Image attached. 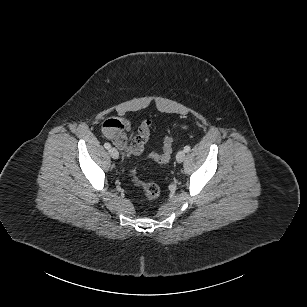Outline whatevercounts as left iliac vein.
<instances>
[{"label": "left iliac vein", "mask_w": 307, "mask_h": 307, "mask_svg": "<svg viewBox=\"0 0 307 307\" xmlns=\"http://www.w3.org/2000/svg\"><path fill=\"white\" fill-rule=\"evenodd\" d=\"M186 156V152L184 150H180L177 155H176V160L178 163L183 162V160L185 159Z\"/></svg>", "instance_id": "1"}]
</instances>
